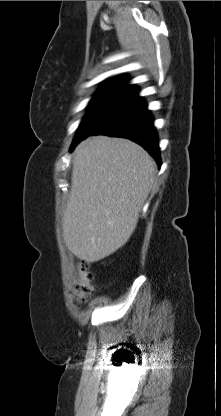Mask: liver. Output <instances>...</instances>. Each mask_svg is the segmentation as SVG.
<instances>
[{
    "instance_id": "obj_1",
    "label": "liver",
    "mask_w": 221,
    "mask_h": 416,
    "mask_svg": "<svg viewBox=\"0 0 221 416\" xmlns=\"http://www.w3.org/2000/svg\"><path fill=\"white\" fill-rule=\"evenodd\" d=\"M156 180V163L124 138L96 136L75 148L63 239L79 259L97 262L122 247Z\"/></svg>"
}]
</instances>
